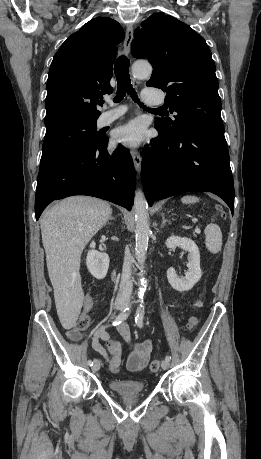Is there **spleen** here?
Wrapping results in <instances>:
<instances>
[{"label": "spleen", "mask_w": 261, "mask_h": 459, "mask_svg": "<svg viewBox=\"0 0 261 459\" xmlns=\"http://www.w3.org/2000/svg\"><path fill=\"white\" fill-rule=\"evenodd\" d=\"M196 196L187 195L181 198L183 204H194L199 202ZM205 245L209 252L216 254L222 247V233L218 225L210 223L206 226L205 230Z\"/></svg>", "instance_id": "1"}]
</instances>
